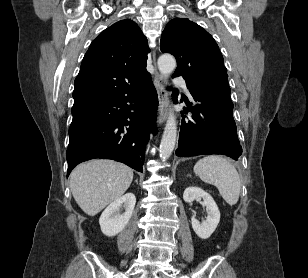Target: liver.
<instances>
[{
    "label": "liver",
    "mask_w": 308,
    "mask_h": 278,
    "mask_svg": "<svg viewBox=\"0 0 308 278\" xmlns=\"http://www.w3.org/2000/svg\"><path fill=\"white\" fill-rule=\"evenodd\" d=\"M133 180L128 166L106 159L91 160L70 174V189L79 207L94 216L122 197Z\"/></svg>",
    "instance_id": "liver-1"
}]
</instances>
